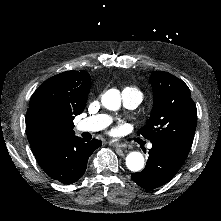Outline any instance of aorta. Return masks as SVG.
Wrapping results in <instances>:
<instances>
[{"mask_svg": "<svg viewBox=\"0 0 221 221\" xmlns=\"http://www.w3.org/2000/svg\"><path fill=\"white\" fill-rule=\"evenodd\" d=\"M102 103L109 110H117L121 104L119 92L104 95ZM125 162L127 168L132 172H139L144 168V156L140 152H130L126 156Z\"/></svg>", "mask_w": 221, "mask_h": 221, "instance_id": "762f6f07", "label": "aorta"}]
</instances>
